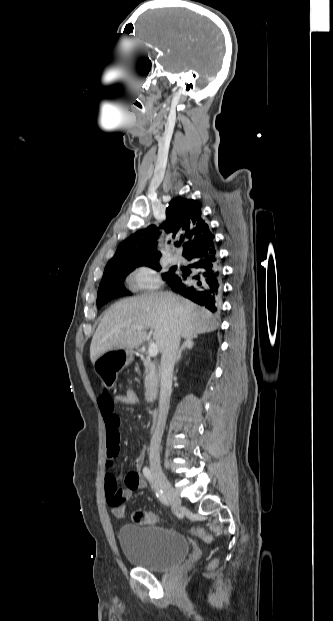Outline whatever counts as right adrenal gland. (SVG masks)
Segmentation results:
<instances>
[{
  "instance_id": "2a0ac1e0",
  "label": "right adrenal gland",
  "mask_w": 333,
  "mask_h": 621,
  "mask_svg": "<svg viewBox=\"0 0 333 621\" xmlns=\"http://www.w3.org/2000/svg\"><path fill=\"white\" fill-rule=\"evenodd\" d=\"M195 337H190V338H186L184 343L182 344L181 348L179 349L178 353H177V357H176V363L179 362V360L181 359V354L183 351H185L186 349H192L194 346V339Z\"/></svg>"
}]
</instances>
